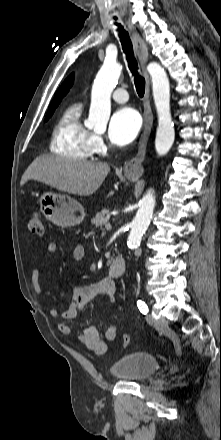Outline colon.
<instances>
[{
	"label": "colon",
	"instance_id": "1",
	"mask_svg": "<svg viewBox=\"0 0 221 440\" xmlns=\"http://www.w3.org/2000/svg\"><path fill=\"white\" fill-rule=\"evenodd\" d=\"M28 229L31 233L35 235H43L44 234V227H43V221L40 213L34 212L30 215L28 219ZM122 337V344L123 346H127L129 344V337L126 334V332H121Z\"/></svg>",
	"mask_w": 221,
	"mask_h": 440
}]
</instances>
